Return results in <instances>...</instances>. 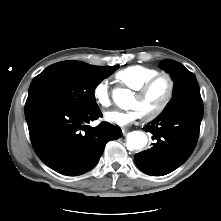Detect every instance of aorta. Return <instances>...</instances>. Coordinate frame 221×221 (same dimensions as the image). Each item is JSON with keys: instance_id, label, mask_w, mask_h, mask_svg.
I'll return each instance as SVG.
<instances>
[{"instance_id": "obj_1", "label": "aorta", "mask_w": 221, "mask_h": 221, "mask_svg": "<svg viewBox=\"0 0 221 221\" xmlns=\"http://www.w3.org/2000/svg\"><path fill=\"white\" fill-rule=\"evenodd\" d=\"M130 94L128 89H116L113 92V100L118 107L124 109ZM127 144L132 149H141L147 144V136L141 131L130 132L127 135Z\"/></svg>"}]
</instances>
